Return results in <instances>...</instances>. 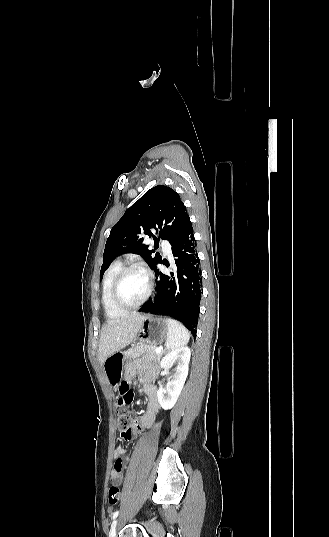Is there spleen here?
Returning a JSON list of instances; mask_svg holds the SVG:
<instances>
[{
    "label": "spleen",
    "mask_w": 329,
    "mask_h": 537,
    "mask_svg": "<svg viewBox=\"0 0 329 537\" xmlns=\"http://www.w3.org/2000/svg\"><path fill=\"white\" fill-rule=\"evenodd\" d=\"M168 325L167 349H177L186 345L190 339L189 331L179 321L174 319H168Z\"/></svg>",
    "instance_id": "obj_1"
}]
</instances>
